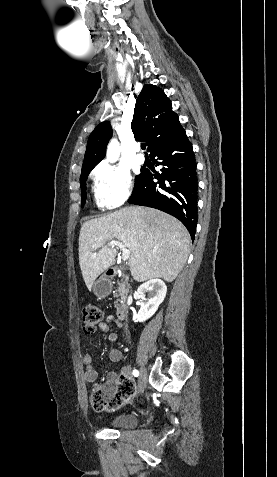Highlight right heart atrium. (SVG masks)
Here are the masks:
<instances>
[{
    "label": "right heart atrium",
    "mask_w": 277,
    "mask_h": 477,
    "mask_svg": "<svg viewBox=\"0 0 277 477\" xmlns=\"http://www.w3.org/2000/svg\"><path fill=\"white\" fill-rule=\"evenodd\" d=\"M96 194L106 208L123 205L132 192V178L125 168L101 163L94 170Z\"/></svg>",
    "instance_id": "right-heart-atrium-1"
}]
</instances>
